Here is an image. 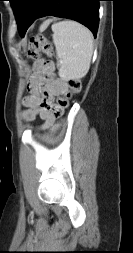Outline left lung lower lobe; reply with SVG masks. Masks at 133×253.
Wrapping results in <instances>:
<instances>
[{
  "label": "left lung lower lobe",
  "instance_id": "1",
  "mask_svg": "<svg viewBox=\"0 0 133 253\" xmlns=\"http://www.w3.org/2000/svg\"><path fill=\"white\" fill-rule=\"evenodd\" d=\"M99 1L102 0H26L16 20L19 34L23 37L36 19L52 15L76 20L96 36Z\"/></svg>",
  "mask_w": 133,
  "mask_h": 253
}]
</instances>
